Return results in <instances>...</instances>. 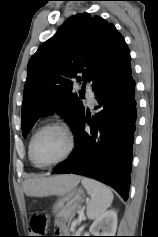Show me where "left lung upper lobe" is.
<instances>
[{
  "label": "left lung upper lobe",
  "instance_id": "obj_1",
  "mask_svg": "<svg viewBox=\"0 0 158 237\" xmlns=\"http://www.w3.org/2000/svg\"><path fill=\"white\" fill-rule=\"evenodd\" d=\"M130 51L115 26L99 16L79 13L66 20L28 63L22 104V132L26 137L42 114L57 112L75 132L83 114L73 93L74 79L95 91L124 64Z\"/></svg>",
  "mask_w": 158,
  "mask_h": 237
}]
</instances>
